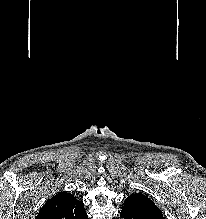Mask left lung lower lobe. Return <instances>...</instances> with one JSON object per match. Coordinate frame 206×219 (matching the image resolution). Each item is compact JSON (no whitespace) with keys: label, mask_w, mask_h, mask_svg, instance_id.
Masks as SVG:
<instances>
[{"label":"left lung lower lobe","mask_w":206,"mask_h":219,"mask_svg":"<svg viewBox=\"0 0 206 219\" xmlns=\"http://www.w3.org/2000/svg\"><path fill=\"white\" fill-rule=\"evenodd\" d=\"M121 218L124 219H151L143 216L142 214L136 212L133 207L126 205L120 213Z\"/></svg>","instance_id":"1"}]
</instances>
